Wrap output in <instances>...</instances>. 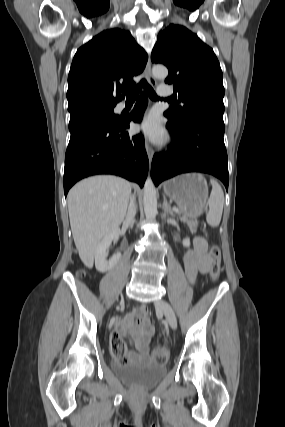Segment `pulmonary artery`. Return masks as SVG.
Returning <instances> with one entry per match:
<instances>
[{
	"mask_svg": "<svg viewBox=\"0 0 285 427\" xmlns=\"http://www.w3.org/2000/svg\"><path fill=\"white\" fill-rule=\"evenodd\" d=\"M158 94L160 97H170L173 94V89L170 85H161L158 88ZM119 110H124L127 108V106L122 103L118 106Z\"/></svg>",
	"mask_w": 285,
	"mask_h": 427,
	"instance_id": "1",
	"label": "pulmonary artery"
}]
</instances>
